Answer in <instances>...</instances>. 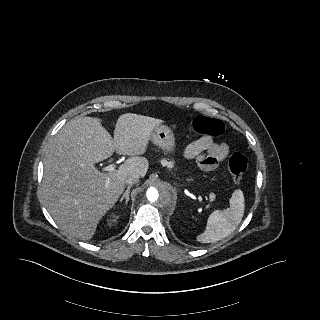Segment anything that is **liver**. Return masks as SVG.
<instances>
[{
  "instance_id": "obj_1",
  "label": "liver",
  "mask_w": 320,
  "mask_h": 320,
  "mask_svg": "<svg viewBox=\"0 0 320 320\" xmlns=\"http://www.w3.org/2000/svg\"><path fill=\"white\" fill-rule=\"evenodd\" d=\"M163 121L126 113L116 123L114 138L95 117L67 122L49 145L44 160L42 195L57 225L81 240L93 237L101 218L118 201L131 174L144 177L152 130ZM116 151L131 156L117 170L100 172L95 164Z\"/></svg>"
}]
</instances>
